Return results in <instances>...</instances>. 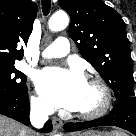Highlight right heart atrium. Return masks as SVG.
I'll return each mask as SVG.
<instances>
[{
	"label": "right heart atrium",
	"mask_w": 136,
	"mask_h": 136,
	"mask_svg": "<svg viewBox=\"0 0 136 136\" xmlns=\"http://www.w3.org/2000/svg\"><path fill=\"white\" fill-rule=\"evenodd\" d=\"M31 107L34 111L42 114H46L50 111V106L38 96H33L31 98Z\"/></svg>",
	"instance_id": "obj_1"
}]
</instances>
